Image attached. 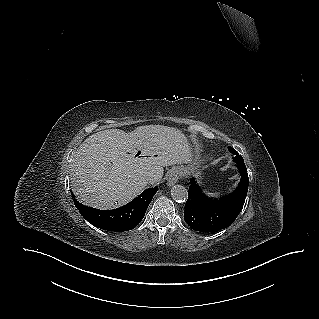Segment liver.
I'll list each match as a JSON object with an SVG mask.
<instances>
[{"instance_id":"1","label":"liver","mask_w":319,"mask_h":319,"mask_svg":"<svg viewBox=\"0 0 319 319\" xmlns=\"http://www.w3.org/2000/svg\"><path fill=\"white\" fill-rule=\"evenodd\" d=\"M191 157L187 138L173 127L103 130L85 139L72 159L73 191L85 205L114 209L139 195L148 175L153 176L150 183L159 182L163 167L188 163Z\"/></svg>"}]
</instances>
